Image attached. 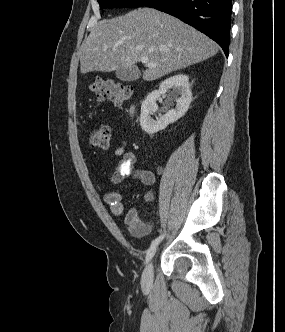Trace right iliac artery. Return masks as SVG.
<instances>
[{"mask_svg":"<svg viewBox=\"0 0 285 332\" xmlns=\"http://www.w3.org/2000/svg\"><path fill=\"white\" fill-rule=\"evenodd\" d=\"M164 237H165V234L163 233L160 236H158L155 240L152 241L150 248L147 251L145 263H148L150 261V259L153 257V255L155 254V251H156V247L159 245V243L163 240Z\"/></svg>","mask_w":285,"mask_h":332,"instance_id":"right-iliac-artery-1","label":"right iliac artery"}]
</instances>
